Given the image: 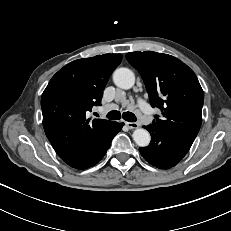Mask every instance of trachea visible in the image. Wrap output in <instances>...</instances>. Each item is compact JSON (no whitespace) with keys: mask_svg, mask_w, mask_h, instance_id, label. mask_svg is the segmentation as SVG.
I'll return each instance as SVG.
<instances>
[{"mask_svg":"<svg viewBox=\"0 0 231 231\" xmlns=\"http://www.w3.org/2000/svg\"><path fill=\"white\" fill-rule=\"evenodd\" d=\"M107 117L110 120H118L121 118V113L119 111L113 110L107 114ZM122 117L128 122H135L137 120L136 116L132 112H124Z\"/></svg>","mask_w":231,"mask_h":231,"instance_id":"1","label":"trachea"}]
</instances>
